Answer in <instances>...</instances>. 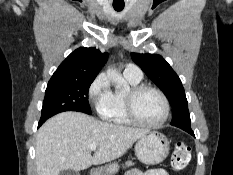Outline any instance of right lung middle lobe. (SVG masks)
<instances>
[{
  "label": "right lung middle lobe",
  "instance_id": "obj_1",
  "mask_svg": "<svg viewBox=\"0 0 233 175\" xmlns=\"http://www.w3.org/2000/svg\"><path fill=\"white\" fill-rule=\"evenodd\" d=\"M95 78L50 80L43 101L39 122L64 111L91 114L88 91Z\"/></svg>",
  "mask_w": 233,
  "mask_h": 175
}]
</instances>
